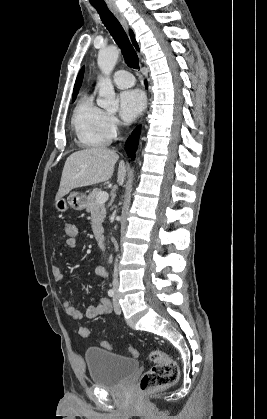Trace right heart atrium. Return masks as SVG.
<instances>
[{
    "instance_id": "obj_1",
    "label": "right heart atrium",
    "mask_w": 267,
    "mask_h": 419,
    "mask_svg": "<svg viewBox=\"0 0 267 419\" xmlns=\"http://www.w3.org/2000/svg\"><path fill=\"white\" fill-rule=\"evenodd\" d=\"M118 126H119L118 119L113 115H108L107 116V129L111 137L115 136Z\"/></svg>"
}]
</instances>
